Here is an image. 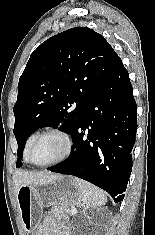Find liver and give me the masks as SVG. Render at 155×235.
Here are the masks:
<instances>
[{"label": "liver", "instance_id": "obj_1", "mask_svg": "<svg viewBox=\"0 0 155 235\" xmlns=\"http://www.w3.org/2000/svg\"><path fill=\"white\" fill-rule=\"evenodd\" d=\"M59 177V175H54L48 172H28L24 170H16L13 175L15 192L17 194L20 186L46 183Z\"/></svg>", "mask_w": 155, "mask_h": 235}]
</instances>
